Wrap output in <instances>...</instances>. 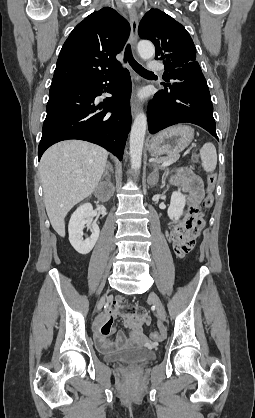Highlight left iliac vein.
I'll use <instances>...</instances> for the list:
<instances>
[{
  "mask_svg": "<svg viewBox=\"0 0 255 418\" xmlns=\"http://www.w3.org/2000/svg\"><path fill=\"white\" fill-rule=\"evenodd\" d=\"M149 299L153 303L159 319L161 321H165L166 320V312H165L164 306H163L161 300L159 299V297L155 293L152 292L149 295Z\"/></svg>",
  "mask_w": 255,
  "mask_h": 418,
  "instance_id": "4c4485c4",
  "label": "left iliac vein"
}]
</instances>
